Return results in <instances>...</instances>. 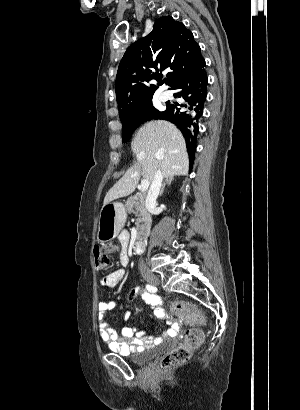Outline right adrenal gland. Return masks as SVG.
Masks as SVG:
<instances>
[{"mask_svg": "<svg viewBox=\"0 0 300 410\" xmlns=\"http://www.w3.org/2000/svg\"><path fill=\"white\" fill-rule=\"evenodd\" d=\"M173 180H174V177H173V176L166 177V179H165V181H164V183H163V185H162V187H161L160 193H159L160 196H162V194H163V192H164V189H165V186H166L167 184L170 185Z\"/></svg>", "mask_w": 300, "mask_h": 410, "instance_id": "right-adrenal-gland-1", "label": "right adrenal gland"}]
</instances>
